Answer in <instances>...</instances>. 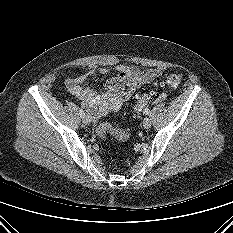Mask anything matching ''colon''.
Segmentation results:
<instances>
[{
	"label": "colon",
	"instance_id": "colon-1",
	"mask_svg": "<svg viewBox=\"0 0 233 233\" xmlns=\"http://www.w3.org/2000/svg\"><path fill=\"white\" fill-rule=\"evenodd\" d=\"M182 77L179 74H171L160 82L161 87H177L181 83ZM161 96L155 91H148L140 95L135 104L134 111L139 114L143 108L151 101L160 99ZM97 134L101 139H105L107 135H112L118 140L125 141L129 138L130 134L127 130L115 128L109 123H101L97 127Z\"/></svg>",
	"mask_w": 233,
	"mask_h": 233
}]
</instances>
